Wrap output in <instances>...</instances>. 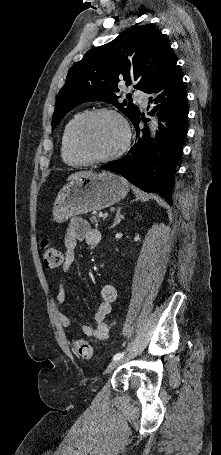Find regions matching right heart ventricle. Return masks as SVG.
<instances>
[{"label":"right heart ventricle","instance_id":"1","mask_svg":"<svg viewBox=\"0 0 221 455\" xmlns=\"http://www.w3.org/2000/svg\"><path fill=\"white\" fill-rule=\"evenodd\" d=\"M81 115L82 113H76L68 120L61 137V156L68 165L74 167L86 164V162L75 152L72 144L73 127Z\"/></svg>","mask_w":221,"mask_h":455}]
</instances>
